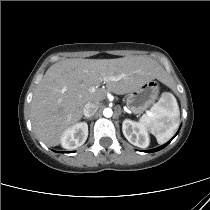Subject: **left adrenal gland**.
Listing matches in <instances>:
<instances>
[{
    "instance_id": "1",
    "label": "left adrenal gland",
    "mask_w": 210,
    "mask_h": 210,
    "mask_svg": "<svg viewBox=\"0 0 210 210\" xmlns=\"http://www.w3.org/2000/svg\"><path fill=\"white\" fill-rule=\"evenodd\" d=\"M118 113L121 114L122 113V109L121 107H119Z\"/></svg>"
}]
</instances>
